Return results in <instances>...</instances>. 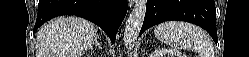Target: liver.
Wrapping results in <instances>:
<instances>
[{
    "label": "liver",
    "instance_id": "1",
    "mask_svg": "<svg viewBox=\"0 0 249 57\" xmlns=\"http://www.w3.org/2000/svg\"><path fill=\"white\" fill-rule=\"evenodd\" d=\"M97 38L93 23L79 17H59L38 32L36 57H82Z\"/></svg>",
    "mask_w": 249,
    "mask_h": 57
}]
</instances>
